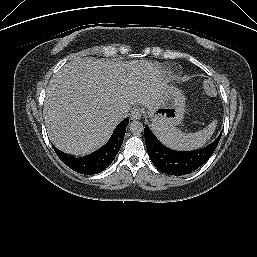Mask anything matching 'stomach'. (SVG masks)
Segmentation results:
<instances>
[{"mask_svg": "<svg viewBox=\"0 0 257 257\" xmlns=\"http://www.w3.org/2000/svg\"><path fill=\"white\" fill-rule=\"evenodd\" d=\"M185 112V96L182 91L172 85L163 87L160 98L148 108L152 125L167 128L179 125Z\"/></svg>", "mask_w": 257, "mask_h": 257, "instance_id": "0dacf381", "label": "stomach"}]
</instances>
